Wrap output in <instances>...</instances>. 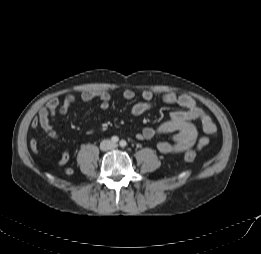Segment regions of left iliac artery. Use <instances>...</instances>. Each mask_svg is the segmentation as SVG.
<instances>
[{"label":"left iliac artery","instance_id":"44dca946","mask_svg":"<svg viewBox=\"0 0 261 254\" xmlns=\"http://www.w3.org/2000/svg\"><path fill=\"white\" fill-rule=\"evenodd\" d=\"M119 144L121 147H125L127 145L125 140H121Z\"/></svg>","mask_w":261,"mask_h":254}]
</instances>
